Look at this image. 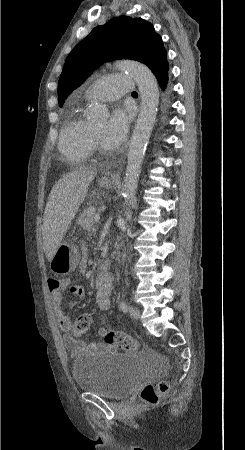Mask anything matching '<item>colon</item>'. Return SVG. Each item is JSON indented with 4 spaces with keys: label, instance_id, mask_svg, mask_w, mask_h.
I'll return each mask as SVG.
<instances>
[{
    "label": "colon",
    "instance_id": "1",
    "mask_svg": "<svg viewBox=\"0 0 245 450\" xmlns=\"http://www.w3.org/2000/svg\"><path fill=\"white\" fill-rule=\"evenodd\" d=\"M63 282L61 277H51L48 280V284L51 289H58ZM93 324V316L90 313H84L77 317L73 332L76 335L85 333ZM105 342L114 344L125 350H134L137 348V344L134 339L117 330L108 329L104 335ZM170 382L161 381L156 385L147 384L141 390V398L143 401L150 405H156L162 396L170 391Z\"/></svg>",
    "mask_w": 245,
    "mask_h": 450
}]
</instances>
